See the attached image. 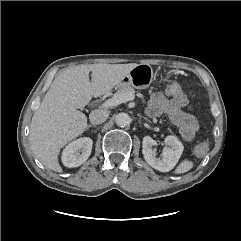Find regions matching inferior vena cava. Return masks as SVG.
<instances>
[{
  "mask_svg": "<svg viewBox=\"0 0 241 241\" xmlns=\"http://www.w3.org/2000/svg\"><path fill=\"white\" fill-rule=\"evenodd\" d=\"M108 116H109V114L107 111L102 110V109H97V110H93L90 113L89 119L92 124L98 125V124L105 122L106 119L108 118Z\"/></svg>",
  "mask_w": 241,
  "mask_h": 241,
  "instance_id": "602c4592",
  "label": "inferior vena cava"
}]
</instances>
